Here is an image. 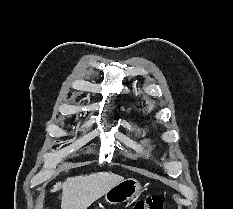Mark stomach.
Masks as SVG:
<instances>
[{
	"instance_id": "1",
	"label": "stomach",
	"mask_w": 233,
	"mask_h": 209,
	"mask_svg": "<svg viewBox=\"0 0 233 209\" xmlns=\"http://www.w3.org/2000/svg\"><path fill=\"white\" fill-rule=\"evenodd\" d=\"M141 193V185L134 178L123 179L104 194V199L110 204H122L133 200Z\"/></svg>"
}]
</instances>
